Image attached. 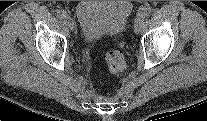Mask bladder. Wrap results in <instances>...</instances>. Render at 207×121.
<instances>
[{
	"mask_svg": "<svg viewBox=\"0 0 207 121\" xmlns=\"http://www.w3.org/2000/svg\"><path fill=\"white\" fill-rule=\"evenodd\" d=\"M132 11L130 1H80L76 15L81 35L87 42L117 37L126 28Z\"/></svg>",
	"mask_w": 207,
	"mask_h": 121,
	"instance_id": "1",
	"label": "bladder"
}]
</instances>
